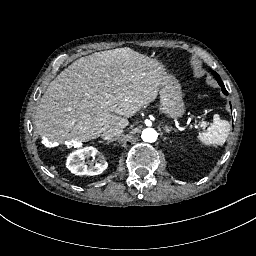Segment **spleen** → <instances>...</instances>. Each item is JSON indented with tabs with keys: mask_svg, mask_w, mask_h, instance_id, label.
Returning a JSON list of instances; mask_svg holds the SVG:
<instances>
[{
	"mask_svg": "<svg viewBox=\"0 0 256 256\" xmlns=\"http://www.w3.org/2000/svg\"><path fill=\"white\" fill-rule=\"evenodd\" d=\"M230 133V124L226 120H221L219 116H214L213 123L206 131L198 135V139L205 145L222 146Z\"/></svg>",
	"mask_w": 256,
	"mask_h": 256,
	"instance_id": "1",
	"label": "spleen"
}]
</instances>
